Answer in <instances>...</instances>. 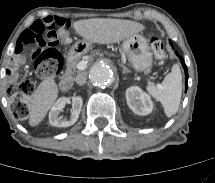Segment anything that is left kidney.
I'll return each instance as SVG.
<instances>
[{"label": "left kidney", "mask_w": 215, "mask_h": 183, "mask_svg": "<svg viewBox=\"0 0 215 183\" xmlns=\"http://www.w3.org/2000/svg\"><path fill=\"white\" fill-rule=\"evenodd\" d=\"M126 100L129 108L137 115L144 116L152 112L153 103L150 96L137 86L126 90Z\"/></svg>", "instance_id": "1"}]
</instances>
